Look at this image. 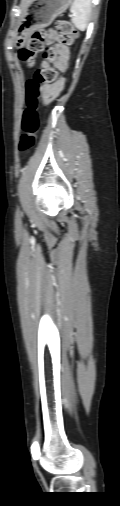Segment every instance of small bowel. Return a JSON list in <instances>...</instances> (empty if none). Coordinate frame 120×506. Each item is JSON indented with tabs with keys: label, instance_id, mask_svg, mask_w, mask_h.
<instances>
[{
	"label": "small bowel",
	"instance_id": "1",
	"mask_svg": "<svg viewBox=\"0 0 120 506\" xmlns=\"http://www.w3.org/2000/svg\"><path fill=\"white\" fill-rule=\"evenodd\" d=\"M45 36L48 41H52L55 39L56 34L54 31H49L45 33ZM59 53H60V59L57 62V66L64 70L67 66V57H68V49L65 46L60 45L58 47ZM64 87V80L59 79L53 84H45L42 86L43 91V100L45 103H50L53 101L63 90Z\"/></svg>",
	"mask_w": 120,
	"mask_h": 506
}]
</instances>
